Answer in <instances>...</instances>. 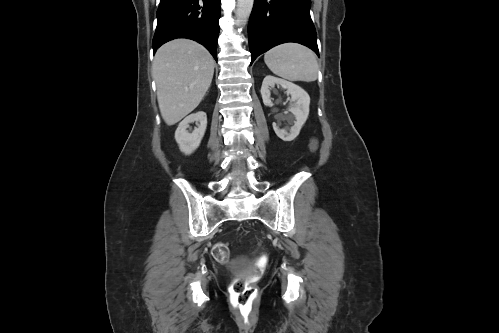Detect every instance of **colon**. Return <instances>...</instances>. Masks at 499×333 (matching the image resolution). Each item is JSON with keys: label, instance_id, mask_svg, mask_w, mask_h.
<instances>
[{"label": "colon", "instance_id": "1", "mask_svg": "<svg viewBox=\"0 0 499 333\" xmlns=\"http://www.w3.org/2000/svg\"><path fill=\"white\" fill-rule=\"evenodd\" d=\"M316 148V142H312V149ZM212 256L218 262H227L229 260V248L226 243L218 242L212 248ZM263 266L257 265L253 271V277H259L262 274ZM255 300L254 290L248 285L245 278L236 279L231 287V304L243 316H248L252 310Z\"/></svg>", "mask_w": 499, "mask_h": 333}]
</instances>
